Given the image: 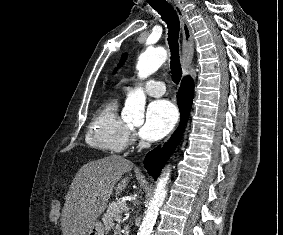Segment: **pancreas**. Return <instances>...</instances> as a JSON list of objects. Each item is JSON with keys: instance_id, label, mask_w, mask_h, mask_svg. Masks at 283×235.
<instances>
[{"instance_id": "1", "label": "pancreas", "mask_w": 283, "mask_h": 235, "mask_svg": "<svg viewBox=\"0 0 283 235\" xmlns=\"http://www.w3.org/2000/svg\"><path fill=\"white\" fill-rule=\"evenodd\" d=\"M126 204L124 202H121L120 199H116V201H113L109 204L108 209L106 213L102 217L103 224L105 226L106 230L114 229V235H121V227L120 222L118 224H114V220L117 216H120V213H123L125 211ZM121 217V216H120ZM128 226L125 227V230H128Z\"/></svg>"}]
</instances>
